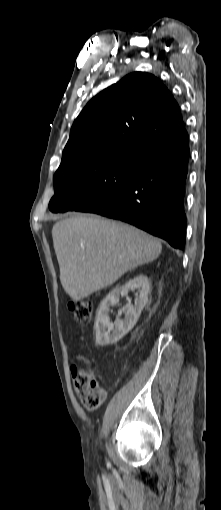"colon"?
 <instances>
[{"mask_svg": "<svg viewBox=\"0 0 221 510\" xmlns=\"http://www.w3.org/2000/svg\"><path fill=\"white\" fill-rule=\"evenodd\" d=\"M75 322L85 323L92 313V304L87 300L71 301L68 305ZM77 381L81 387L80 401L90 410L99 408L104 401V391L90 369H80Z\"/></svg>", "mask_w": 221, "mask_h": 510, "instance_id": "obj_1", "label": "colon"}]
</instances>
